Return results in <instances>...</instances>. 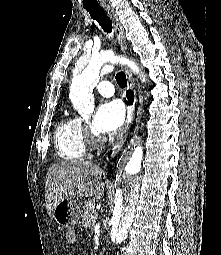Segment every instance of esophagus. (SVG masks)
Returning <instances> with one entry per match:
<instances>
[{
    "mask_svg": "<svg viewBox=\"0 0 221 255\" xmlns=\"http://www.w3.org/2000/svg\"><path fill=\"white\" fill-rule=\"evenodd\" d=\"M107 13H108V16L110 17V19L112 20L113 25H114L116 35H117V40H118V43L121 47V50L126 55L127 54V45H126L124 29L122 27V24L118 20V18H117L116 14L114 13L113 10L108 8ZM125 73H126L127 80H128V87H129L130 90H133L135 84H134V79L132 77V74H131V72L128 68L125 69ZM132 111H133V105L130 107L129 115L127 116V119H126L123 127L121 128V130L119 132V135L116 139L114 153H116L122 147V145L125 141V138L127 136V133L129 131L130 124H131L130 117L132 115Z\"/></svg>",
    "mask_w": 221,
    "mask_h": 255,
    "instance_id": "esophagus-1",
    "label": "esophagus"
}]
</instances>
